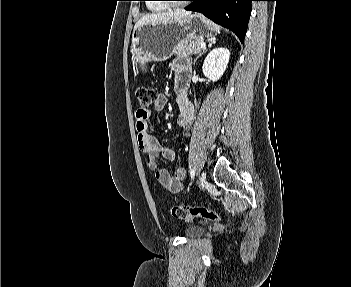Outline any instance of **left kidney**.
I'll return each mask as SVG.
<instances>
[{"instance_id": "1", "label": "left kidney", "mask_w": 351, "mask_h": 287, "mask_svg": "<svg viewBox=\"0 0 351 287\" xmlns=\"http://www.w3.org/2000/svg\"><path fill=\"white\" fill-rule=\"evenodd\" d=\"M229 58L230 52L225 47H218L210 51L202 66L204 76L213 82L219 80L227 68Z\"/></svg>"}]
</instances>
